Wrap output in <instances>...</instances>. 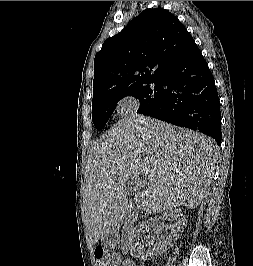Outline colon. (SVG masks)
I'll return each instance as SVG.
<instances>
[{"label": "colon", "instance_id": "obj_1", "mask_svg": "<svg viewBox=\"0 0 253 266\" xmlns=\"http://www.w3.org/2000/svg\"><path fill=\"white\" fill-rule=\"evenodd\" d=\"M95 259L98 266H118L119 257L115 252H110L103 247L95 250Z\"/></svg>", "mask_w": 253, "mask_h": 266}]
</instances>
